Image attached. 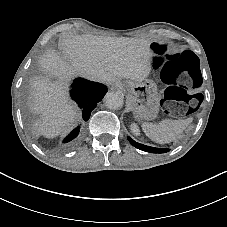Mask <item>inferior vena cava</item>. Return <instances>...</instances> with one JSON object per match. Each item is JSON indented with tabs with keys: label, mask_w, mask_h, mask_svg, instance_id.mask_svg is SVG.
<instances>
[{
	"label": "inferior vena cava",
	"mask_w": 227,
	"mask_h": 227,
	"mask_svg": "<svg viewBox=\"0 0 227 227\" xmlns=\"http://www.w3.org/2000/svg\"><path fill=\"white\" fill-rule=\"evenodd\" d=\"M106 78L104 77V78H102V79H98V81H101V82H106Z\"/></svg>",
	"instance_id": "inferior-vena-cava-1"
}]
</instances>
